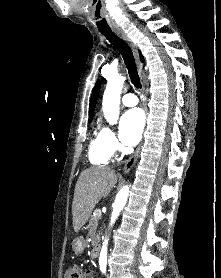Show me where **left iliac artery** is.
I'll list each match as a JSON object with an SVG mask.
<instances>
[{
	"instance_id": "left-iliac-artery-1",
	"label": "left iliac artery",
	"mask_w": 221,
	"mask_h": 278,
	"mask_svg": "<svg viewBox=\"0 0 221 278\" xmlns=\"http://www.w3.org/2000/svg\"><path fill=\"white\" fill-rule=\"evenodd\" d=\"M100 270L105 273L106 272V263L105 262H100Z\"/></svg>"
}]
</instances>
